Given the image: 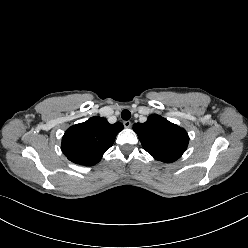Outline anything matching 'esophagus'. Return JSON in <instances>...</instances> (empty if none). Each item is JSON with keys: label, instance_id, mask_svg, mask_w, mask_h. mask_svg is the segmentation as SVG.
Masks as SVG:
<instances>
[{"label": "esophagus", "instance_id": "esophagus-1", "mask_svg": "<svg viewBox=\"0 0 248 248\" xmlns=\"http://www.w3.org/2000/svg\"><path fill=\"white\" fill-rule=\"evenodd\" d=\"M123 125H124L125 128H130L132 123L130 121H124Z\"/></svg>", "mask_w": 248, "mask_h": 248}]
</instances>
